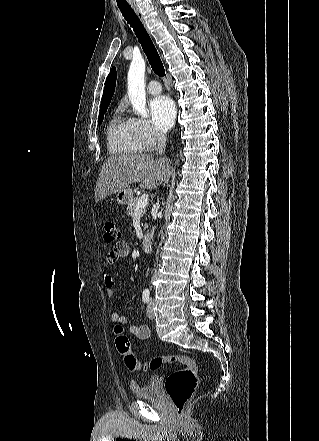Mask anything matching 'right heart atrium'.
Wrapping results in <instances>:
<instances>
[{
    "instance_id": "d8ad5b80",
    "label": "right heart atrium",
    "mask_w": 319,
    "mask_h": 441,
    "mask_svg": "<svg viewBox=\"0 0 319 441\" xmlns=\"http://www.w3.org/2000/svg\"><path fill=\"white\" fill-rule=\"evenodd\" d=\"M129 123L132 138L140 151L152 150L164 140V135L145 119L133 117L129 119Z\"/></svg>"
}]
</instances>
